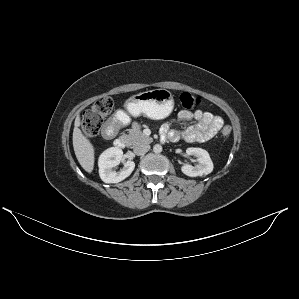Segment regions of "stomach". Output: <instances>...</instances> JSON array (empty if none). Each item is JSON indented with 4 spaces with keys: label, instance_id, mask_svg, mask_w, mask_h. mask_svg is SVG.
Listing matches in <instances>:
<instances>
[{
    "label": "stomach",
    "instance_id": "obj_1",
    "mask_svg": "<svg viewBox=\"0 0 299 299\" xmlns=\"http://www.w3.org/2000/svg\"><path fill=\"white\" fill-rule=\"evenodd\" d=\"M173 107V95L166 89L145 91L134 95L126 102V109L132 116L143 114L154 120L168 117Z\"/></svg>",
    "mask_w": 299,
    "mask_h": 299
}]
</instances>
